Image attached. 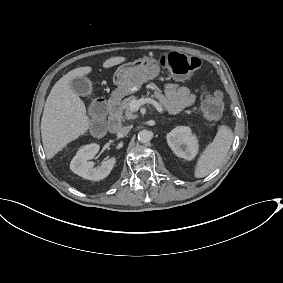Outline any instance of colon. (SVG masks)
Listing matches in <instances>:
<instances>
[{
  "label": "colon",
  "instance_id": "obj_1",
  "mask_svg": "<svg viewBox=\"0 0 283 283\" xmlns=\"http://www.w3.org/2000/svg\"><path fill=\"white\" fill-rule=\"evenodd\" d=\"M161 65L178 77H186L196 72L201 67V61L190 55L178 52L163 54ZM203 113L209 121L218 120L223 111L222 93L219 90L207 92L202 100ZM106 111L103 99L94 101L90 108L94 128L100 131L102 128V117Z\"/></svg>",
  "mask_w": 283,
  "mask_h": 283
}]
</instances>
